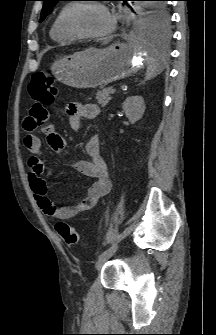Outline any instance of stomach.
I'll return each mask as SVG.
<instances>
[{"label":"stomach","mask_w":216,"mask_h":335,"mask_svg":"<svg viewBox=\"0 0 216 335\" xmlns=\"http://www.w3.org/2000/svg\"><path fill=\"white\" fill-rule=\"evenodd\" d=\"M148 54L133 43L116 42L105 49L89 48L56 61L51 71L65 85L102 88L123 79L148 62Z\"/></svg>","instance_id":"1"}]
</instances>
